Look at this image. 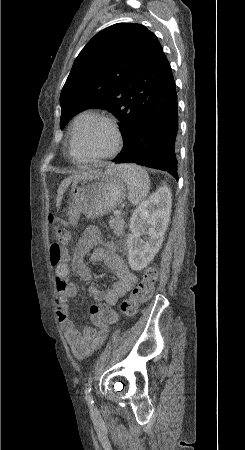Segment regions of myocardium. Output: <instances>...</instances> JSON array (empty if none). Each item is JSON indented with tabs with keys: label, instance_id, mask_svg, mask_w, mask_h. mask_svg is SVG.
<instances>
[{
	"label": "myocardium",
	"instance_id": "1",
	"mask_svg": "<svg viewBox=\"0 0 245 450\" xmlns=\"http://www.w3.org/2000/svg\"><path fill=\"white\" fill-rule=\"evenodd\" d=\"M104 123L106 124L114 134V145L112 149L103 155L97 156H85L76 150V138L80 128L86 124H96ZM124 143L123 134L117 121L105 114H95L94 116L84 119L75 120L70 130V150L75 155L76 158L80 160H106L114 157L119 153Z\"/></svg>",
	"mask_w": 245,
	"mask_h": 450
}]
</instances>
